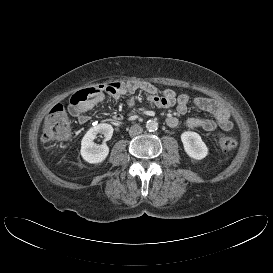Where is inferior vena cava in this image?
I'll list each match as a JSON object with an SVG mask.
<instances>
[{"label":"inferior vena cava","instance_id":"602c4592","mask_svg":"<svg viewBox=\"0 0 273 273\" xmlns=\"http://www.w3.org/2000/svg\"><path fill=\"white\" fill-rule=\"evenodd\" d=\"M142 131H143L142 127L140 125H138V124H135V125L130 127L129 134L131 136H136V135L141 134Z\"/></svg>","mask_w":273,"mask_h":273}]
</instances>
